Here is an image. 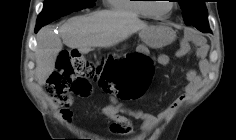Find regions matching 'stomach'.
Segmentation results:
<instances>
[{
	"label": "stomach",
	"instance_id": "0dacf381",
	"mask_svg": "<svg viewBox=\"0 0 236 140\" xmlns=\"http://www.w3.org/2000/svg\"><path fill=\"white\" fill-rule=\"evenodd\" d=\"M147 45L161 48L172 43L176 38L175 31L165 24L149 27L141 33Z\"/></svg>",
	"mask_w": 236,
	"mask_h": 140
}]
</instances>
